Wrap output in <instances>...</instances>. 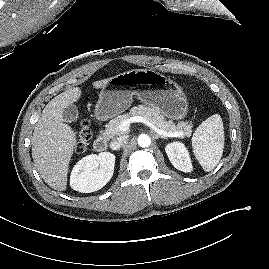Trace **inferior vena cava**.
Wrapping results in <instances>:
<instances>
[{
  "label": "inferior vena cava",
  "instance_id": "602c4592",
  "mask_svg": "<svg viewBox=\"0 0 269 269\" xmlns=\"http://www.w3.org/2000/svg\"><path fill=\"white\" fill-rule=\"evenodd\" d=\"M124 138H117L110 143V148L112 150H117L123 145Z\"/></svg>",
  "mask_w": 269,
  "mask_h": 269
}]
</instances>
